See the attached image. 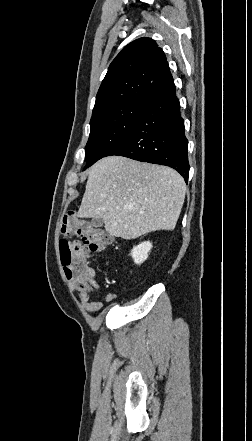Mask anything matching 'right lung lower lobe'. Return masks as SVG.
I'll return each mask as SVG.
<instances>
[{
  "label": "right lung lower lobe",
  "instance_id": "98d812e1",
  "mask_svg": "<svg viewBox=\"0 0 252 441\" xmlns=\"http://www.w3.org/2000/svg\"><path fill=\"white\" fill-rule=\"evenodd\" d=\"M145 107L128 135L106 156L166 165L188 181V141L173 80L144 98Z\"/></svg>",
  "mask_w": 252,
  "mask_h": 441
}]
</instances>
